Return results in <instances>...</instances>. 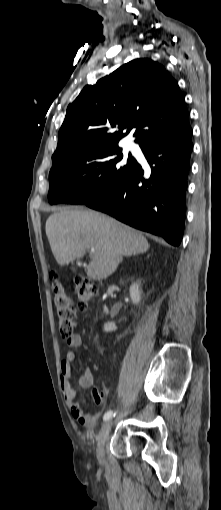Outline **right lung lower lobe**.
<instances>
[{"instance_id":"obj_1","label":"right lung lower lobe","mask_w":221,"mask_h":510,"mask_svg":"<svg viewBox=\"0 0 221 510\" xmlns=\"http://www.w3.org/2000/svg\"><path fill=\"white\" fill-rule=\"evenodd\" d=\"M191 136L188 125L146 141L140 147L151 169L144 173L138 164L125 181L85 204L179 246L193 149Z\"/></svg>"}]
</instances>
